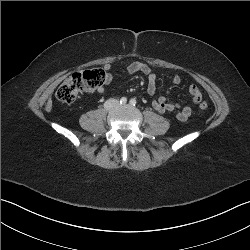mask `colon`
<instances>
[{
	"mask_svg": "<svg viewBox=\"0 0 250 250\" xmlns=\"http://www.w3.org/2000/svg\"><path fill=\"white\" fill-rule=\"evenodd\" d=\"M105 83V73L103 70H84L74 73L66 79L57 89L56 97L64 103H72L82 93H89L97 90ZM208 104L201 102L199 109L207 110Z\"/></svg>",
	"mask_w": 250,
	"mask_h": 250,
	"instance_id": "1",
	"label": "colon"
}]
</instances>
